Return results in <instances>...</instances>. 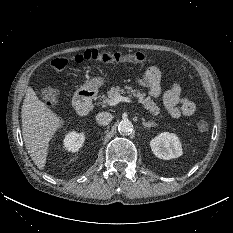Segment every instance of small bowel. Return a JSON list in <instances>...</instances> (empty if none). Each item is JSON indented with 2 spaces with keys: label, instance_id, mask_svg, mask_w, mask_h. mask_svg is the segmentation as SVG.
<instances>
[{
  "label": "small bowel",
  "instance_id": "1",
  "mask_svg": "<svg viewBox=\"0 0 233 233\" xmlns=\"http://www.w3.org/2000/svg\"><path fill=\"white\" fill-rule=\"evenodd\" d=\"M136 80L148 89L151 97L157 98L161 95V72L157 67H148ZM163 101L169 113L175 118L189 117L196 111L195 103L181 94L178 83H174L164 93Z\"/></svg>",
  "mask_w": 233,
  "mask_h": 233
}]
</instances>
